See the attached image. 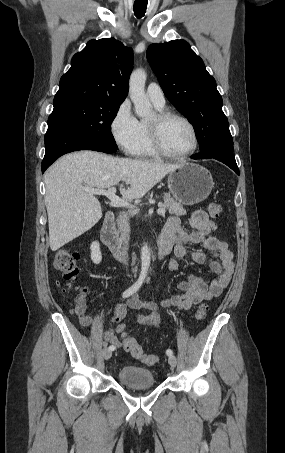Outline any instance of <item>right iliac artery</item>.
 I'll return each mask as SVG.
<instances>
[{
  "mask_svg": "<svg viewBox=\"0 0 285 453\" xmlns=\"http://www.w3.org/2000/svg\"><path fill=\"white\" fill-rule=\"evenodd\" d=\"M145 276H146L145 273H141L140 276H139V278H138V280H137L131 287H129L127 290H125V291L123 292L122 297H123V298H127V297H129L130 295H132L133 293H135V292L140 288V286L142 285V283H143V281H144V279H145ZM104 345H105V343H104ZM109 349H110V350H114L115 347L110 346Z\"/></svg>",
  "mask_w": 285,
  "mask_h": 453,
  "instance_id": "obj_1",
  "label": "right iliac artery"
}]
</instances>
